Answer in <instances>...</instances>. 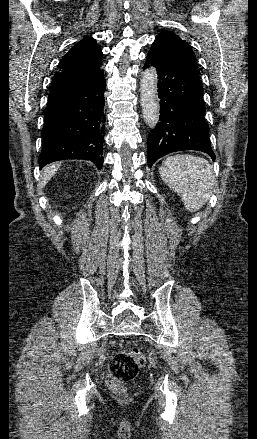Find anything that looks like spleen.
Listing matches in <instances>:
<instances>
[{"label": "spleen", "instance_id": "3e777b00", "mask_svg": "<svg viewBox=\"0 0 257 439\" xmlns=\"http://www.w3.org/2000/svg\"><path fill=\"white\" fill-rule=\"evenodd\" d=\"M159 173L188 211H198L208 200L214 172L207 160L188 154L171 156L163 161Z\"/></svg>", "mask_w": 257, "mask_h": 439}]
</instances>
